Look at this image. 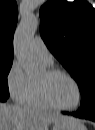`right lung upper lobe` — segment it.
<instances>
[{
  "instance_id": "1",
  "label": "right lung upper lobe",
  "mask_w": 95,
  "mask_h": 130,
  "mask_svg": "<svg viewBox=\"0 0 95 130\" xmlns=\"http://www.w3.org/2000/svg\"><path fill=\"white\" fill-rule=\"evenodd\" d=\"M17 20L15 0H0V61H13V36Z\"/></svg>"
}]
</instances>
